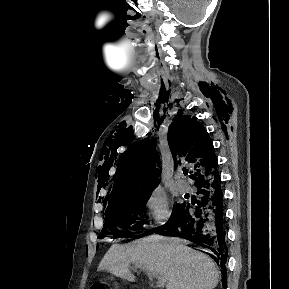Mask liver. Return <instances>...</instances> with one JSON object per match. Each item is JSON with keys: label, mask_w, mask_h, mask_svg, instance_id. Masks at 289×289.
<instances>
[{"label": "liver", "mask_w": 289, "mask_h": 289, "mask_svg": "<svg viewBox=\"0 0 289 289\" xmlns=\"http://www.w3.org/2000/svg\"><path fill=\"white\" fill-rule=\"evenodd\" d=\"M131 263L144 266L158 276L166 289H213L219 282V271L213 260L182 244L178 238L153 235L132 244H114L98 270L132 281Z\"/></svg>", "instance_id": "6515ba94"}]
</instances>
